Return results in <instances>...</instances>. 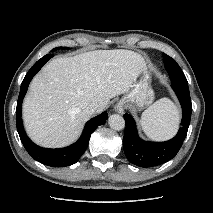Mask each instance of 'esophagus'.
Masks as SVG:
<instances>
[{"mask_svg": "<svg viewBox=\"0 0 213 213\" xmlns=\"http://www.w3.org/2000/svg\"><path fill=\"white\" fill-rule=\"evenodd\" d=\"M124 109H125V104L123 102H118L116 105H115V111H117L118 113H123L124 112Z\"/></svg>", "mask_w": 213, "mask_h": 213, "instance_id": "1", "label": "esophagus"}]
</instances>
